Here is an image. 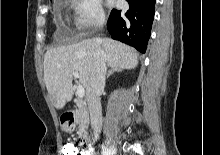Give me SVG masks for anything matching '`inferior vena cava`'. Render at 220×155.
<instances>
[{
  "label": "inferior vena cava",
  "mask_w": 220,
  "mask_h": 155,
  "mask_svg": "<svg viewBox=\"0 0 220 155\" xmlns=\"http://www.w3.org/2000/svg\"><path fill=\"white\" fill-rule=\"evenodd\" d=\"M105 22V17L100 16L99 24L102 26ZM107 57L101 48L97 51V59L91 71L88 86L86 88V98L88 109L90 112L91 127L95 135H98L102 129V109L100 95L104 91L106 79Z\"/></svg>",
  "instance_id": "1"
}]
</instances>
